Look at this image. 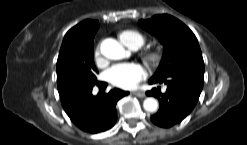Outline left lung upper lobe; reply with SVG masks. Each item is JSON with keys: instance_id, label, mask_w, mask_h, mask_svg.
<instances>
[{"instance_id": "obj_1", "label": "left lung upper lobe", "mask_w": 247, "mask_h": 145, "mask_svg": "<svg viewBox=\"0 0 247 145\" xmlns=\"http://www.w3.org/2000/svg\"><path fill=\"white\" fill-rule=\"evenodd\" d=\"M139 23L164 45L162 61L151 79L159 80L178 73L204 76V62L197 38L184 23L167 14L155 15Z\"/></svg>"}]
</instances>
